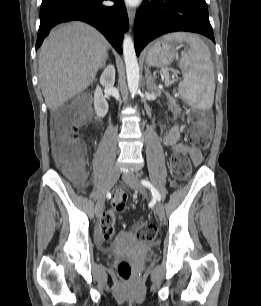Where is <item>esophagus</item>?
Instances as JSON below:
<instances>
[{
    "label": "esophagus",
    "instance_id": "obj_1",
    "mask_svg": "<svg viewBox=\"0 0 261 306\" xmlns=\"http://www.w3.org/2000/svg\"><path fill=\"white\" fill-rule=\"evenodd\" d=\"M127 13H128L129 22L132 25L135 18V11L132 8H128Z\"/></svg>",
    "mask_w": 261,
    "mask_h": 306
}]
</instances>
